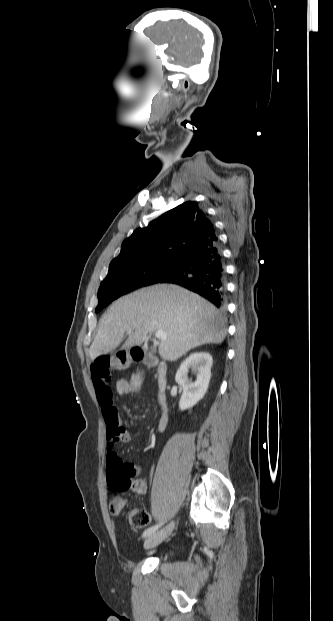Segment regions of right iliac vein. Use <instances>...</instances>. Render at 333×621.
<instances>
[{
  "label": "right iliac vein",
  "mask_w": 333,
  "mask_h": 621,
  "mask_svg": "<svg viewBox=\"0 0 333 621\" xmlns=\"http://www.w3.org/2000/svg\"><path fill=\"white\" fill-rule=\"evenodd\" d=\"M174 524L171 523L160 531L148 536L145 540L144 547L145 548H153L162 543L172 532Z\"/></svg>",
  "instance_id": "63e3f726"
}]
</instances>
